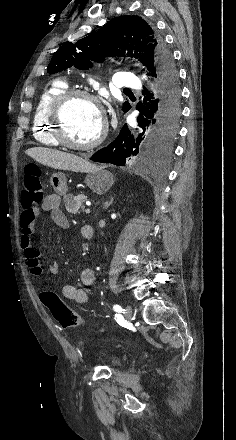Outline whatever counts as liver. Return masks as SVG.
<instances>
[{"mask_svg":"<svg viewBox=\"0 0 236 440\" xmlns=\"http://www.w3.org/2000/svg\"><path fill=\"white\" fill-rule=\"evenodd\" d=\"M25 153L37 162L54 169L88 173L96 168L94 164L79 156L54 149L35 147L26 150Z\"/></svg>","mask_w":236,"mask_h":440,"instance_id":"1","label":"liver"}]
</instances>
